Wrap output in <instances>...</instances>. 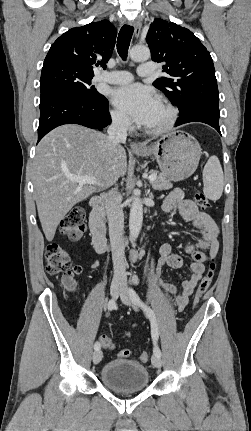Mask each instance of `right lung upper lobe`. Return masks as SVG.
<instances>
[{
  "label": "right lung upper lobe",
  "instance_id": "cb5924a9",
  "mask_svg": "<svg viewBox=\"0 0 251 431\" xmlns=\"http://www.w3.org/2000/svg\"><path fill=\"white\" fill-rule=\"evenodd\" d=\"M116 35L115 27L107 20L72 28L51 45L43 68L54 63H68L94 74L95 67H106Z\"/></svg>",
  "mask_w": 251,
  "mask_h": 431
}]
</instances>
